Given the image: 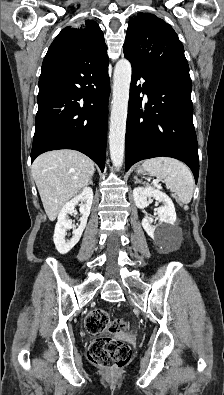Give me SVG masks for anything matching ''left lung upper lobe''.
<instances>
[{
    "label": "left lung upper lobe",
    "instance_id": "5c2ea615",
    "mask_svg": "<svg viewBox=\"0 0 224 395\" xmlns=\"http://www.w3.org/2000/svg\"><path fill=\"white\" fill-rule=\"evenodd\" d=\"M124 55L134 65L191 81L181 41L172 27L150 13L128 23Z\"/></svg>",
    "mask_w": 224,
    "mask_h": 395
}]
</instances>
